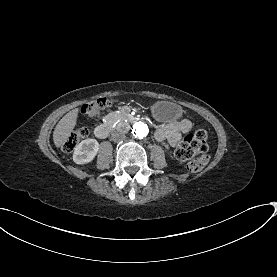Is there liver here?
Segmentation results:
<instances>
[{
    "mask_svg": "<svg viewBox=\"0 0 277 277\" xmlns=\"http://www.w3.org/2000/svg\"><path fill=\"white\" fill-rule=\"evenodd\" d=\"M78 109L69 111L56 125L53 132V141L56 147H61L71 135L78 117Z\"/></svg>",
    "mask_w": 277,
    "mask_h": 277,
    "instance_id": "obj_1",
    "label": "liver"
}]
</instances>
